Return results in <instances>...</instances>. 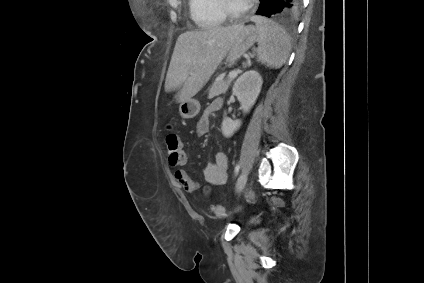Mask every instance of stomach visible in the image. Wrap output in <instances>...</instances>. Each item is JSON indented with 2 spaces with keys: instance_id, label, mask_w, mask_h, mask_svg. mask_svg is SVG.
<instances>
[{
  "instance_id": "0dacf381",
  "label": "stomach",
  "mask_w": 424,
  "mask_h": 283,
  "mask_svg": "<svg viewBox=\"0 0 424 283\" xmlns=\"http://www.w3.org/2000/svg\"><path fill=\"white\" fill-rule=\"evenodd\" d=\"M258 31L253 26L243 27L230 44L226 63L232 66L236 61L257 41ZM179 112L182 118L190 119L195 117L200 112V103L196 99L188 98L181 101Z\"/></svg>"
}]
</instances>
